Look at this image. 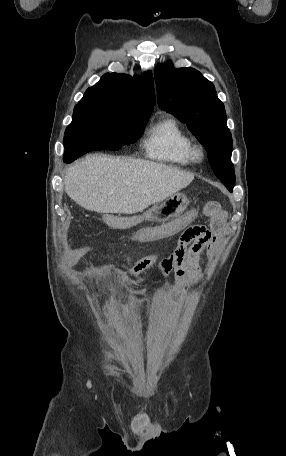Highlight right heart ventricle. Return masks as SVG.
<instances>
[{
  "label": "right heart ventricle",
  "mask_w": 286,
  "mask_h": 456,
  "mask_svg": "<svg viewBox=\"0 0 286 456\" xmlns=\"http://www.w3.org/2000/svg\"><path fill=\"white\" fill-rule=\"evenodd\" d=\"M143 145L146 155L153 160L177 165H187L191 162V137L172 117H166L153 125Z\"/></svg>",
  "instance_id": "e07e8e85"
}]
</instances>
